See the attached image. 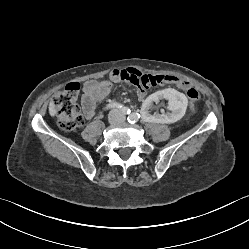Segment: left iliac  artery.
Returning <instances> with one entry per match:
<instances>
[{"label":"left iliac artery","instance_id":"44dca946","mask_svg":"<svg viewBox=\"0 0 249 249\" xmlns=\"http://www.w3.org/2000/svg\"><path fill=\"white\" fill-rule=\"evenodd\" d=\"M138 118H140V115L138 113H132L129 117H128V121L133 124L135 123Z\"/></svg>","mask_w":249,"mask_h":249}]
</instances>
